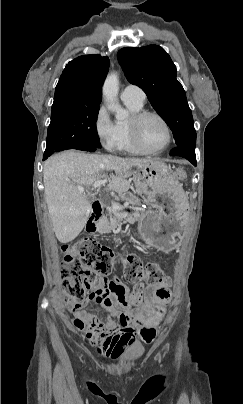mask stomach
<instances>
[{
  "mask_svg": "<svg viewBox=\"0 0 243 404\" xmlns=\"http://www.w3.org/2000/svg\"><path fill=\"white\" fill-rule=\"evenodd\" d=\"M137 192L152 210H144L138 230L144 241L160 251L174 250L181 240L189 217L188 198L167 165L154 159L133 175Z\"/></svg>",
  "mask_w": 243,
  "mask_h": 404,
  "instance_id": "0dacf381",
  "label": "stomach"
}]
</instances>
